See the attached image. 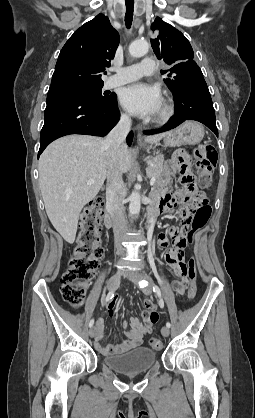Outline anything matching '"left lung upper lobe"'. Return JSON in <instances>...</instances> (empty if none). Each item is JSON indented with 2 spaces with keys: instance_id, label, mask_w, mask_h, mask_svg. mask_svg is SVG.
Wrapping results in <instances>:
<instances>
[{
  "instance_id": "1",
  "label": "left lung upper lobe",
  "mask_w": 255,
  "mask_h": 418,
  "mask_svg": "<svg viewBox=\"0 0 255 418\" xmlns=\"http://www.w3.org/2000/svg\"><path fill=\"white\" fill-rule=\"evenodd\" d=\"M152 30H159V35L151 39V45L158 59H162L171 68L161 70L166 75L164 82L174 94L187 82L203 77L202 71L193 60V49L187 38L176 28L157 17L151 26Z\"/></svg>"
}]
</instances>
